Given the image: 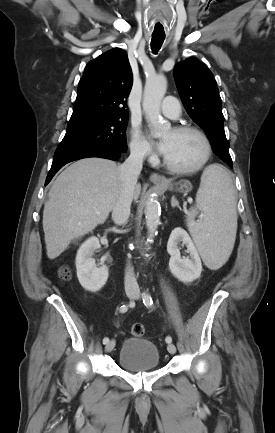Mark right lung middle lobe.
I'll use <instances>...</instances> for the list:
<instances>
[{"mask_svg":"<svg viewBox=\"0 0 275 433\" xmlns=\"http://www.w3.org/2000/svg\"><path fill=\"white\" fill-rule=\"evenodd\" d=\"M128 117L88 116L70 119L67 132L55 153L112 147L127 151Z\"/></svg>","mask_w":275,"mask_h":433,"instance_id":"right-lung-middle-lobe-1","label":"right lung middle lobe"}]
</instances>
